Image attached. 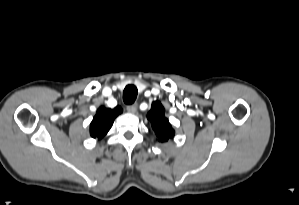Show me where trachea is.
Masks as SVG:
<instances>
[{
  "label": "trachea",
  "mask_w": 299,
  "mask_h": 205,
  "mask_svg": "<svg viewBox=\"0 0 299 205\" xmlns=\"http://www.w3.org/2000/svg\"><path fill=\"white\" fill-rule=\"evenodd\" d=\"M138 90L134 85H127L123 91V100L126 104H133L137 98Z\"/></svg>",
  "instance_id": "obj_1"
}]
</instances>
